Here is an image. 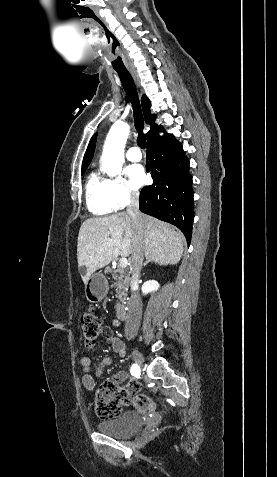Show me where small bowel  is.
Instances as JSON below:
<instances>
[{
    "instance_id": "c3829d8e",
    "label": "small bowel",
    "mask_w": 277,
    "mask_h": 477,
    "mask_svg": "<svg viewBox=\"0 0 277 477\" xmlns=\"http://www.w3.org/2000/svg\"><path fill=\"white\" fill-rule=\"evenodd\" d=\"M102 334L104 338L106 339L107 344L112 348L114 353L122 358L126 354V347L124 342L117 337L111 328L109 327H104ZM112 358L111 357H105L103 358L97 369H96V376L100 377L103 373V370L105 367L109 366L112 363ZM80 364L82 366V377H81V382L84 388L88 391H92L95 387V380L94 377L91 375V365L92 361L89 357H82L80 359ZM128 379H131V375L128 372L125 371H120L115 373L112 376V380L117 383L118 385ZM128 385H133L137 390L139 389V386L135 382H130Z\"/></svg>"
}]
</instances>
